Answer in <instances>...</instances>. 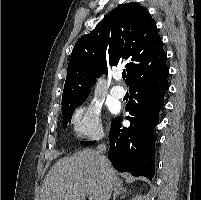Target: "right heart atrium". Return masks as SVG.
Here are the masks:
<instances>
[{"label":"right heart atrium","instance_id":"obj_1","mask_svg":"<svg viewBox=\"0 0 201 200\" xmlns=\"http://www.w3.org/2000/svg\"><path fill=\"white\" fill-rule=\"evenodd\" d=\"M72 126L76 135L99 139L104 135L100 119V109L95 104L79 107L72 118Z\"/></svg>","mask_w":201,"mask_h":200}]
</instances>
